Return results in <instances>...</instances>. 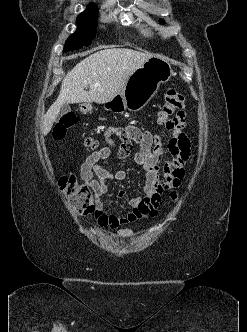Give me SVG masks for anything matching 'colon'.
Here are the masks:
<instances>
[{
    "label": "colon",
    "mask_w": 247,
    "mask_h": 332,
    "mask_svg": "<svg viewBox=\"0 0 247 332\" xmlns=\"http://www.w3.org/2000/svg\"><path fill=\"white\" fill-rule=\"evenodd\" d=\"M185 106V97L177 90L170 89L164 94L163 105L158 112V120L168 129L178 128L184 121L183 108ZM81 113H89L90 107L86 104L80 107ZM78 117L75 113L64 115L53 129V138L62 140L68 131L77 124ZM86 145L91 148H97V142L91 138L86 139ZM59 186L69 202L81 213H96L91 195L86 185L77 181L74 176L63 177L59 180ZM175 198V193L171 194Z\"/></svg>",
    "instance_id": "5ec220e1"
}]
</instances>
